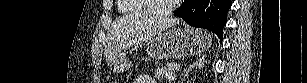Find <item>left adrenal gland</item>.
<instances>
[{"label":"left adrenal gland","instance_id":"left-adrenal-gland-1","mask_svg":"<svg viewBox=\"0 0 307 83\" xmlns=\"http://www.w3.org/2000/svg\"><path fill=\"white\" fill-rule=\"evenodd\" d=\"M205 64V56L203 55L201 58L196 60L193 64H191L188 68L184 70V76L182 80H185V78L188 76V74L193 70V69H198L202 68Z\"/></svg>","mask_w":307,"mask_h":83}]
</instances>
